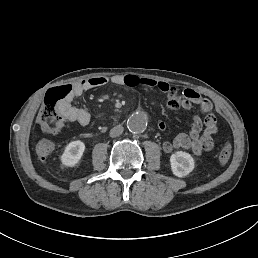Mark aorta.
I'll return each mask as SVG.
<instances>
[{
    "instance_id": "762f6f07",
    "label": "aorta",
    "mask_w": 258,
    "mask_h": 258,
    "mask_svg": "<svg viewBox=\"0 0 258 258\" xmlns=\"http://www.w3.org/2000/svg\"><path fill=\"white\" fill-rule=\"evenodd\" d=\"M148 116L145 112H137L131 115L127 120V128L130 132L139 134L146 130Z\"/></svg>"
}]
</instances>
